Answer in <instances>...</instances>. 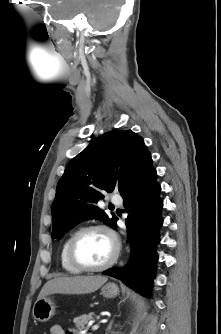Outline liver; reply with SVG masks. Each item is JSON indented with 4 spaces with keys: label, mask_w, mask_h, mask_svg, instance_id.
I'll use <instances>...</instances> for the list:
<instances>
[{
    "label": "liver",
    "mask_w": 221,
    "mask_h": 334,
    "mask_svg": "<svg viewBox=\"0 0 221 334\" xmlns=\"http://www.w3.org/2000/svg\"><path fill=\"white\" fill-rule=\"evenodd\" d=\"M105 276H74L58 277L49 280L41 289L38 299H42L50 294H84L91 293L99 289L105 282ZM37 299V300H38Z\"/></svg>",
    "instance_id": "obj_1"
}]
</instances>
